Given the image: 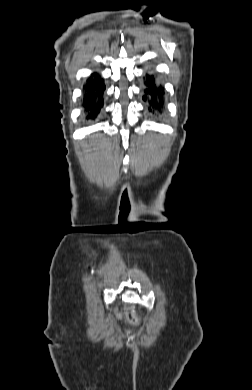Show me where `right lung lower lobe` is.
Listing matches in <instances>:
<instances>
[{"label":"right lung lower lobe","instance_id":"right-lung-lower-lobe-1","mask_svg":"<svg viewBox=\"0 0 252 390\" xmlns=\"http://www.w3.org/2000/svg\"><path fill=\"white\" fill-rule=\"evenodd\" d=\"M104 81L99 75L87 80L83 88V102L86 119L95 120L103 107Z\"/></svg>","mask_w":252,"mask_h":390}]
</instances>
